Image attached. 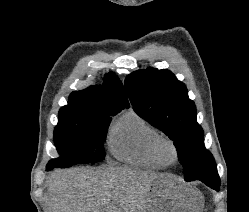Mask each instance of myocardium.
I'll return each mask as SVG.
<instances>
[{"mask_svg": "<svg viewBox=\"0 0 249 212\" xmlns=\"http://www.w3.org/2000/svg\"><path fill=\"white\" fill-rule=\"evenodd\" d=\"M166 146H168L173 152L174 155L173 161L168 160L164 156L163 149ZM152 151L156 160L162 165L167 167L176 165L180 160L179 148L176 142L168 136L160 135L159 137H157L153 142Z\"/></svg>", "mask_w": 249, "mask_h": 212, "instance_id": "myocardium-1", "label": "myocardium"}]
</instances>
